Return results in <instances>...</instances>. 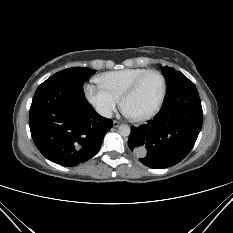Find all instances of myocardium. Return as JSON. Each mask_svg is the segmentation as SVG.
<instances>
[{
  "label": "myocardium",
  "instance_id": "myocardium-1",
  "mask_svg": "<svg viewBox=\"0 0 233 233\" xmlns=\"http://www.w3.org/2000/svg\"><path fill=\"white\" fill-rule=\"evenodd\" d=\"M153 73L157 74L161 78V81H162V92H161V96H160V99H159L157 105L155 106V108L153 110H151L150 112H148L144 115H141V116H133V115L128 114L124 108L126 100L137 91V89L141 85L142 81L148 75L153 74ZM166 93H167V82H166L165 76L158 70L149 69L148 71L142 73L139 77H137L136 80L124 91V93L120 97V105L128 118H130L131 120H133L135 122H143V121H146V120L153 118L154 116H156L158 114V112L161 110V108L163 106V103H164V100L166 97Z\"/></svg>",
  "mask_w": 233,
  "mask_h": 233
}]
</instances>
